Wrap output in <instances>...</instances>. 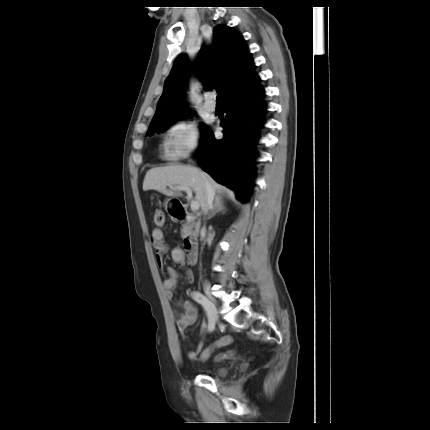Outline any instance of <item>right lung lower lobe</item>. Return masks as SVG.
<instances>
[{
  "instance_id": "98d812e1",
  "label": "right lung lower lobe",
  "mask_w": 430,
  "mask_h": 430,
  "mask_svg": "<svg viewBox=\"0 0 430 430\" xmlns=\"http://www.w3.org/2000/svg\"><path fill=\"white\" fill-rule=\"evenodd\" d=\"M259 76L243 80L223 100L227 117L221 126L223 139L217 140L211 131L202 139L201 168L217 182L232 188L237 197L249 201L253 159L259 129L264 125L267 106L262 98L264 89Z\"/></svg>"
}]
</instances>
